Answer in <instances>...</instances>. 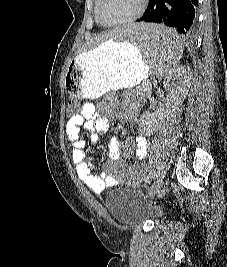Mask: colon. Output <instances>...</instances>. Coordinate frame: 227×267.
Listing matches in <instances>:
<instances>
[{
	"instance_id": "obj_1",
	"label": "colon",
	"mask_w": 227,
	"mask_h": 267,
	"mask_svg": "<svg viewBox=\"0 0 227 267\" xmlns=\"http://www.w3.org/2000/svg\"><path fill=\"white\" fill-rule=\"evenodd\" d=\"M81 105L76 100H72L69 104L68 115H80Z\"/></svg>"
}]
</instances>
